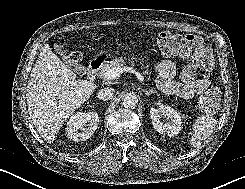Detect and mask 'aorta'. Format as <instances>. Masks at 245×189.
Masks as SVG:
<instances>
[{
    "instance_id": "obj_1",
    "label": "aorta",
    "mask_w": 245,
    "mask_h": 189,
    "mask_svg": "<svg viewBox=\"0 0 245 189\" xmlns=\"http://www.w3.org/2000/svg\"><path fill=\"white\" fill-rule=\"evenodd\" d=\"M138 103V99L134 94L128 93L124 96L122 105L125 108H132L134 109Z\"/></svg>"
}]
</instances>
